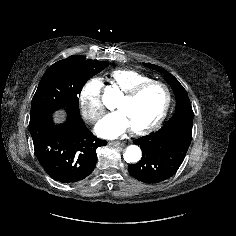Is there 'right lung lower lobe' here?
<instances>
[{"instance_id": "right-lung-lower-lobe-1", "label": "right lung lower lobe", "mask_w": 236, "mask_h": 236, "mask_svg": "<svg viewBox=\"0 0 236 236\" xmlns=\"http://www.w3.org/2000/svg\"><path fill=\"white\" fill-rule=\"evenodd\" d=\"M29 127L39 163L62 183L90 175L97 162L96 149L107 144L87 129L81 117L68 116L65 123L57 125L51 114H43L30 117Z\"/></svg>"}]
</instances>
